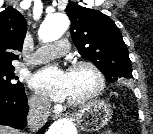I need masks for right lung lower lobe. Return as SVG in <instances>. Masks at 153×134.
<instances>
[{"instance_id": "1", "label": "right lung lower lobe", "mask_w": 153, "mask_h": 134, "mask_svg": "<svg viewBox=\"0 0 153 134\" xmlns=\"http://www.w3.org/2000/svg\"><path fill=\"white\" fill-rule=\"evenodd\" d=\"M27 113L28 104L24 89L17 92L0 90V125L22 129L27 122ZM46 128L47 124L38 131V134H43Z\"/></svg>"}]
</instances>
